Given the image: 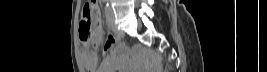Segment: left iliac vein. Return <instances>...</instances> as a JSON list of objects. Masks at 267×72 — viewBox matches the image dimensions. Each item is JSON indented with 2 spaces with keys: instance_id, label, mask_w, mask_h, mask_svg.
<instances>
[{
  "instance_id": "1",
  "label": "left iliac vein",
  "mask_w": 267,
  "mask_h": 72,
  "mask_svg": "<svg viewBox=\"0 0 267 72\" xmlns=\"http://www.w3.org/2000/svg\"><path fill=\"white\" fill-rule=\"evenodd\" d=\"M108 22L110 24V27H111L112 31L116 35H118V36H123L124 35V32L122 30L118 29L116 24H115V17H114V13H113V10H112L111 7L109 8V19H108Z\"/></svg>"
}]
</instances>
